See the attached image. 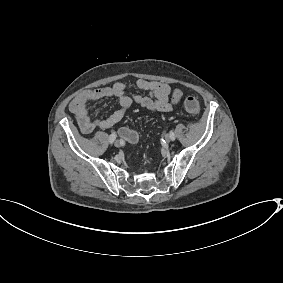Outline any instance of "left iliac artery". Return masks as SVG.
<instances>
[{
	"label": "left iliac artery",
	"instance_id": "left-iliac-artery-1",
	"mask_svg": "<svg viewBox=\"0 0 283 283\" xmlns=\"http://www.w3.org/2000/svg\"><path fill=\"white\" fill-rule=\"evenodd\" d=\"M170 138H171L172 141L175 140V135H174L173 131H170Z\"/></svg>",
	"mask_w": 283,
	"mask_h": 283
}]
</instances>
